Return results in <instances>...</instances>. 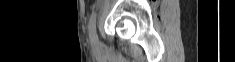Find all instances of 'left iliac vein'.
Returning <instances> with one entry per match:
<instances>
[{"mask_svg":"<svg viewBox=\"0 0 235 62\" xmlns=\"http://www.w3.org/2000/svg\"><path fill=\"white\" fill-rule=\"evenodd\" d=\"M90 40L92 43L96 44L98 42V40H95L91 35H90Z\"/></svg>","mask_w":235,"mask_h":62,"instance_id":"4c4485c4","label":"left iliac vein"}]
</instances>
